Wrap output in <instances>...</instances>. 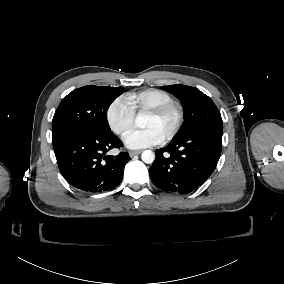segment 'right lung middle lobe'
<instances>
[{
	"instance_id": "obj_1",
	"label": "right lung middle lobe",
	"mask_w": 284,
	"mask_h": 284,
	"mask_svg": "<svg viewBox=\"0 0 284 284\" xmlns=\"http://www.w3.org/2000/svg\"><path fill=\"white\" fill-rule=\"evenodd\" d=\"M123 87L88 85L70 92L63 98L52 120L53 140L77 130L109 132L107 110Z\"/></svg>"
}]
</instances>
